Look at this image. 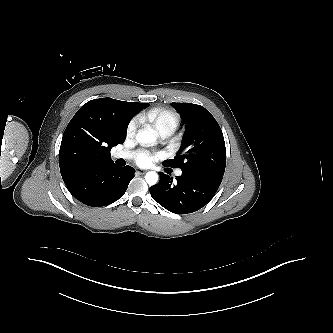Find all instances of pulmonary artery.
<instances>
[{"mask_svg":"<svg viewBox=\"0 0 333 333\" xmlns=\"http://www.w3.org/2000/svg\"><path fill=\"white\" fill-rule=\"evenodd\" d=\"M171 133L170 132H163V133H161V135L163 136V137H167V136H169ZM133 156V154L131 153V152H129V151H126V150H122V151H116V152H114L113 154H112V157L114 158V159H129V158H131ZM175 174L177 175V176H180L181 174H182V171L181 170H177L176 172H175Z\"/></svg>","mask_w":333,"mask_h":333,"instance_id":"e3ab8cb5","label":"pulmonary artery"}]
</instances>
